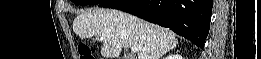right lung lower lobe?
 <instances>
[{
  "instance_id": "right-lung-lower-lobe-1",
  "label": "right lung lower lobe",
  "mask_w": 261,
  "mask_h": 59,
  "mask_svg": "<svg viewBox=\"0 0 261 59\" xmlns=\"http://www.w3.org/2000/svg\"><path fill=\"white\" fill-rule=\"evenodd\" d=\"M99 7L118 9L163 26L198 47L210 28L212 0H103Z\"/></svg>"
}]
</instances>
